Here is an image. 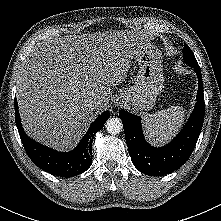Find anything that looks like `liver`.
<instances>
[{
	"label": "liver",
	"instance_id": "liver-1",
	"mask_svg": "<svg viewBox=\"0 0 221 221\" xmlns=\"http://www.w3.org/2000/svg\"><path fill=\"white\" fill-rule=\"evenodd\" d=\"M146 35L105 31L50 39L25 60L17 78V101L25 132L38 142L71 149L91 120L90 102L104 110L111 87L124 81Z\"/></svg>",
	"mask_w": 221,
	"mask_h": 221
}]
</instances>
